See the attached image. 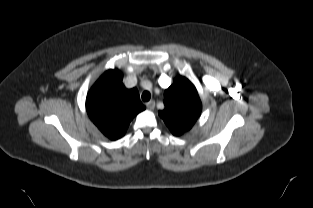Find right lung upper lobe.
Instances as JSON below:
<instances>
[{
  "label": "right lung upper lobe",
  "mask_w": 313,
  "mask_h": 208,
  "mask_svg": "<svg viewBox=\"0 0 313 208\" xmlns=\"http://www.w3.org/2000/svg\"><path fill=\"white\" fill-rule=\"evenodd\" d=\"M122 78L118 69L106 71L91 87L86 98L88 116L110 140L121 138L131 120L145 110L137 89H127Z\"/></svg>",
  "instance_id": "cb5924a9"
}]
</instances>
